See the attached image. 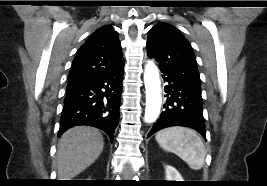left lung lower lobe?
Here are the masks:
<instances>
[{
	"instance_id": "1",
	"label": "left lung lower lobe",
	"mask_w": 267,
	"mask_h": 186,
	"mask_svg": "<svg viewBox=\"0 0 267 186\" xmlns=\"http://www.w3.org/2000/svg\"><path fill=\"white\" fill-rule=\"evenodd\" d=\"M160 71L167 83L165 86L167 100L163 106L164 111L156 120L148 137L163 128L171 126L190 127L205 137L201 87L186 81L168 69H160Z\"/></svg>"
}]
</instances>
